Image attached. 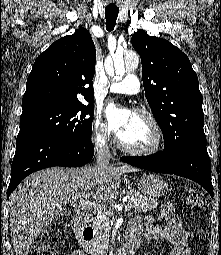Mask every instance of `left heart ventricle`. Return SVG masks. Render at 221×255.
Returning <instances> with one entry per match:
<instances>
[{"instance_id": "1", "label": "left heart ventricle", "mask_w": 221, "mask_h": 255, "mask_svg": "<svg viewBox=\"0 0 221 255\" xmlns=\"http://www.w3.org/2000/svg\"><path fill=\"white\" fill-rule=\"evenodd\" d=\"M129 147L144 148L152 144L154 133L151 125L142 117L132 114L126 128L117 135Z\"/></svg>"}]
</instances>
